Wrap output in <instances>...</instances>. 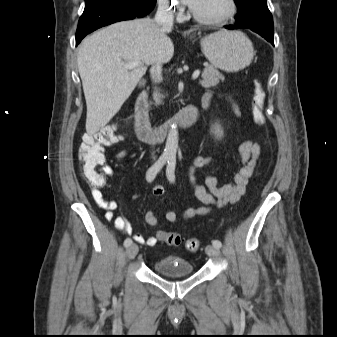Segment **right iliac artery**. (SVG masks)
<instances>
[{"label":"right iliac artery","instance_id":"obj_1","mask_svg":"<svg viewBox=\"0 0 337 337\" xmlns=\"http://www.w3.org/2000/svg\"><path fill=\"white\" fill-rule=\"evenodd\" d=\"M169 157L166 155H162L154 165H152L148 171L146 172V179L148 182H152L157 175V173L160 171V169L166 164ZM132 244V240L130 238H127L124 241V246L129 247Z\"/></svg>","mask_w":337,"mask_h":337}]
</instances>
